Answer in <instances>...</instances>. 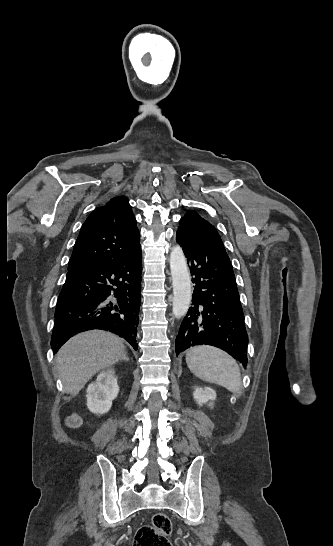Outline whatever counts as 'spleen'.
<instances>
[{"label": "spleen", "instance_id": "obj_1", "mask_svg": "<svg viewBox=\"0 0 333 546\" xmlns=\"http://www.w3.org/2000/svg\"><path fill=\"white\" fill-rule=\"evenodd\" d=\"M186 362L191 372L201 380L224 386L236 393L242 381L239 366L226 352L210 346L192 347Z\"/></svg>", "mask_w": 333, "mask_h": 546}]
</instances>
